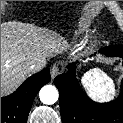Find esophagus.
<instances>
[{"instance_id": "34e87169", "label": "esophagus", "mask_w": 123, "mask_h": 123, "mask_svg": "<svg viewBox=\"0 0 123 123\" xmlns=\"http://www.w3.org/2000/svg\"><path fill=\"white\" fill-rule=\"evenodd\" d=\"M59 74H60V68L57 64H54L50 69L51 78L54 79Z\"/></svg>"}]
</instances>
